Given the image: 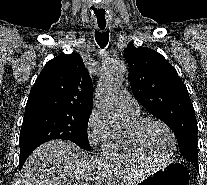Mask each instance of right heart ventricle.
Instances as JSON below:
<instances>
[{"label":"right heart ventricle","instance_id":"right-heart-ventricle-1","mask_svg":"<svg viewBox=\"0 0 207 185\" xmlns=\"http://www.w3.org/2000/svg\"><path fill=\"white\" fill-rule=\"evenodd\" d=\"M130 115L133 121L137 120V114ZM102 153L105 159L119 164H136L150 161L133 147L128 138L127 129L112 131L103 143Z\"/></svg>","mask_w":207,"mask_h":185}]
</instances>
